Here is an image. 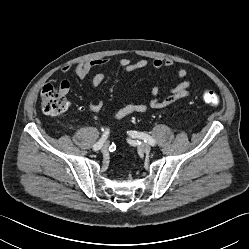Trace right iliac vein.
<instances>
[{
    "label": "right iliac vein",
    "instance_id": "63e3f726",
    "mask_svg": "<svg viewBox=\"0 0 249 249\" xmlns=\"http://www.w3.org/2000/svg\"><path fill=\"white\" fill-rule=\"evenodd\" d=\"M108 148H109V144L106 142L102 145L101 150H102V152H106L108 150Z\"/></svg>",
    "mask_w": 249,
    "mask_h": 249
}]
</instances>
